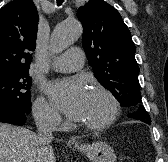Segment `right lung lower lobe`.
Returning <instances> with one entry per match:
<instances>
[{
    "label": "right lung lower lobe",
    "mask_w": 168,
    "mask_h": 162,
    "mask_svg": "<svg viewBox=\"0 0 168 162\" xmlns=\"http://www.w3.org/2000/svg\"><path fill=\"white\" fill-rule=\"evenodd\" d=\"M27 113L13 111L8 109H0V122L10 123L14 125H24Z\"/></svg>",
    "instance_id": "98d812e1"
}]
</instances>
